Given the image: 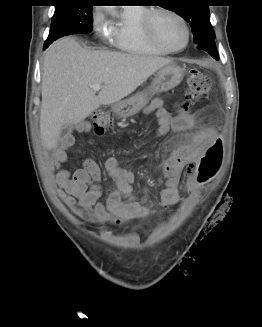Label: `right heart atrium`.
Wrapping results in <instances>:
<instances>
[{
    "label": "right heart atrium",
    "instance_id": "1",
    "mask_svg": "<svg viewBox=\"0 0 262 327\" xmlns=\"http://www.w3.org/2000/svg\"><path fill=\"white\" fill-rule=\"evenodd\" d=\"M92 25L94 30L99 33L100 35H104L106 32V24L104 21V17L98 13L95 12L92 17Z\"/></svg>",
    "mask_w": 262,
    "mask_h": 327
}]
</instances>
